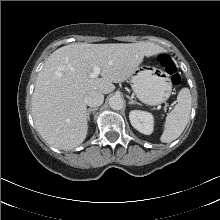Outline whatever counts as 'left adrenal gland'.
I'll return each mask as SVG.
<instances>
[{"label":"left adrenal gland","instance_id":"1","mask_svg":"<svg viewBox=\"0 0 220 220\" xmlns=\"http://www.w3.org/2000/svg\"><path fill=\"white\" fill-rule=\"evenodd\" d=\"M128 99L130 100L129 101V104H137V105H141L139 102L133 100L131 97L128 96Z\"/></svg>","mask_w":220,"mask_h":220}]
</instances>
